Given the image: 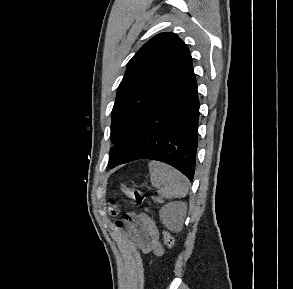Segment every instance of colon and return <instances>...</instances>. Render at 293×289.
Here are the masks:
<instances>
[{
  "instance_id": "obj_1",
  "label": "colon",
  "mask_w": 293,
  "mask_h": 289,
  "mask_svg": "<svg viewBox=\"0 0 293 289\" xmlns=\"http://www.w3.org/2000/svg\"><path fill=\"white\" fill-rule=\"evenodd\" d=\"M121 190L127 194L136 204H142L146 198V195L143 191L127 186V185H121ZM112 213L116 214L117 210L116 209H112ZM163 241L165 243V245L171 249L173 248L174 244H175V240L174 237L170 234V232L168 231H164L163 232Z\"/></svg>"
}]
</instances>
